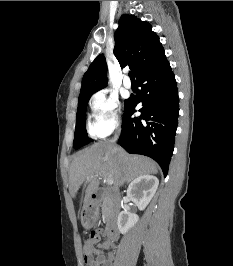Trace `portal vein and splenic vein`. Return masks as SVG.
<instances>
[{
	"label": "portal vein and splenic vein",
	"mask_w": 233,
	"mask_h": 266,
	"mask_svg": "<svg viewBox=\"0 0 233 266\" xmlns=\"http://www.w3.org/2000/svg\"><path fill=\"white\" fill-rule=\"evenodd\" d=\"M103 177V176H102ZM91 177H88V179ZM105 181L107 182L108 185H112L114 183V180L110 177H104Z\"/></svg>",
	"instance_id": "1"
}]
</instances>
